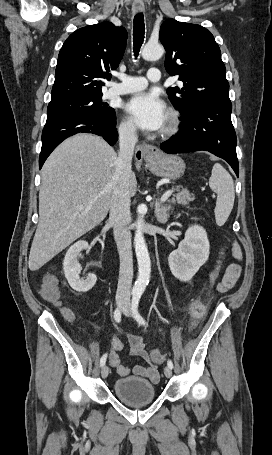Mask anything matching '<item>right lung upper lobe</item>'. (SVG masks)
<instances>
[{
	"label": "right lung upper lobe",
	"instance_id": "right-lung-upper-lobe-1",
	"mask_svg": "<svg viewBox=\"0 0 272 455\" xmlns=\"http://www.w3.org/2000/svg\"><path fill=\"white\" fill-rule=\"evenodd\" d=\"M127 31L105 21L73 32L58 56L51 101L68 97L102 94L123 57Z\"/></svg>",
	"mask_w": 272,
	"mask_h": 455
}]
</instances>
